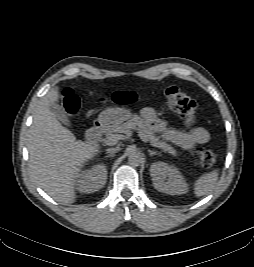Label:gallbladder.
<instances>
[{"label":"gallbladder","mask_w":254,"mask_h":267,"mask_svg":"<svg viewBox=\"0 0 254 267\" xmlns=\"http://www.w3.org/2000/svg\"><path fill=\"white\" fill-rule=\"evenodd\" d=\"M51 113L60 120L64 125H70V121L67 117L65 110L57 103L50 104L49 106Z\"/></svg>","instance_id":"gallbladder-1"}]
</instances>
